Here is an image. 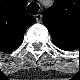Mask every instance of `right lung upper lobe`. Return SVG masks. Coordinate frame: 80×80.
Masks as SVG:
<instances>
[{
    "mask_svg": "<svg viewBox=\"0 0 80 80\" xmlns=\"http://www.w3.org/2000/svg\"><path fill=\"white\" fill-rule=\"evenodd\" d=\"M17 3V4H16ZM35 23V18L26 12V6L21 0L8 2L1 9L0 45L8 51L18 47L26 29Z\"/></svg>",
    "mask_w": 80,
    "mask_h": 80,
    "instance_id": "right-lung-upper-lobe-1",
    "label": "right lung upper lobe"
}]
</instances>
